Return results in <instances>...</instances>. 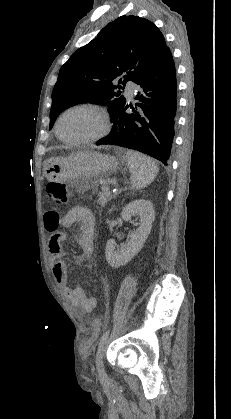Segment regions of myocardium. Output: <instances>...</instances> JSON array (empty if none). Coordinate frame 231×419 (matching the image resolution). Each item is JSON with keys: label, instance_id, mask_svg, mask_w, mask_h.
Returning <instances> with one entry per match:
<instances>
[{"label": "myocardium", "instance_id": "obj_1", "mask_svg": "<svg viewBox=\"0 0 231 419\" xmlns=\"http://www.w3.org/2000/svg\"><path fill=\"white\" fill-rule=\"evenodd\" d=\"M75 110H87V111L96 113L101 118V121H102L101 130L98 133H96L95 135H92L90 137L83 138V139H67V138L63 137L61 132H60V123H61L63 117L66 114H68L69 112L75 111ZM109 129H110V120H109V116H108L107 112L99 106L90 105V104L75 105V106H72V107L66 109L58 117V119L56 121V125H55V131H56V134L59 137V139L62 140L63 142H65V143L72 144V145H81V144H89V143L96 142V141L100 140L101 138H103L108 133Z\"/></svg>", "mask_w": 231, "mask_h": 419}]
</instances>
